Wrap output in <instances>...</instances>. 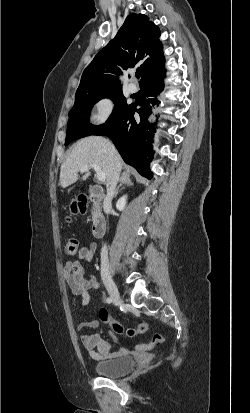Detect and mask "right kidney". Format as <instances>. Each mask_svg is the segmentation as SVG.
I'll return each mask as SVG.
<instances>
[{
    "label": "right kidney",
    "mask_w": 250,
    "mask_h": 413,
    "mask_svg": "<svg viewBox=\"0 0 250 413\" xmlns=\"http://www.w3.org/2000/svg\"><path fill=\"white\" fill-rule=\"evenodd\" d=\"M126 201H127V195H123L116 203V208L119 211H123L126 206Z\"/></svg>",
    "instance_id": "ca27d5eb"
}]
</instances>
